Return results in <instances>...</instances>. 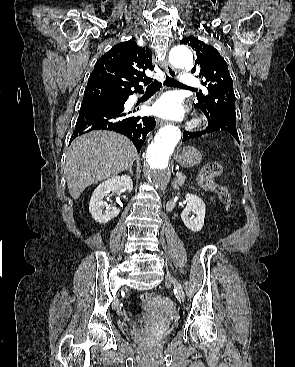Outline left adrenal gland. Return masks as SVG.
I'll return each instance as SVG.
<instances>
[{"label": "left adrenal gland", "mask_w": 295, "mask_h": 367, "mask_svg": "<svg viewBox=\"0 0 295 367\" xmlns=\"http://www.w3.org/2000/svg\"><path fill=\"white\" fill-rule=\"evenodd\" d=\"M172 186H173L175 189H178V184H177L176 179L172 182Z\"/></svg>", "instance_id": "obj_1"}]
</instances>
